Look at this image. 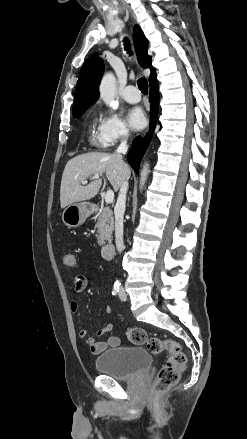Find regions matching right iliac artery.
<instances>
[{"label":"right iliac artery","instance_id":"right-iliac-artery-1","mask_svg":"<svg viewBox=\"0 0 247 439\" xmlns=\"http://www.w3.org/2000/svg\"><path fill=\"white\" fill-rule=\"evenodd\" d=\"M119 291H120V284H118V283L114 284L112 294L116 295V294H118Z\"/></svg>","mask_w":247,"mask_h":439}]
</instances>
